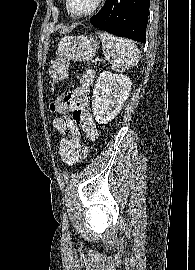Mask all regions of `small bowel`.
I'll list each match as a JSON object with an SVG mask.
<instances>
[{
  "instance_id": "1",
  "label": "small bowel",
  "mask_w": 195,
  "mask_h": 270,
  "mask_svg": "<svg viewBox=\"0 0 195 270\" xmlns=\"http://www.w3.org/2000/svg\"><path fill=\"white\" fill-rule=\"evenodd\" d=\"M93 80L94 73L85 72L80 79L79 87L72 91L74 99L70 107L58 112L59 114L70 112L71 117H55L52 120L53 128L61 136L58 154L66 165H73L78 161L83 133L92 140L97 137L96 123L88 109V95ZM66 132H69L70 136H66Z\"/></svg>"
}]
</instances>
